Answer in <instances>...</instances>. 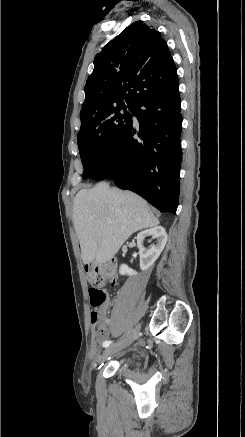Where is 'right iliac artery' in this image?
<instances>
[{"label":"right iliac artery","mask_w":245,"mask_h":437,"mask_svg":"<svg viewBox=\"0 0 245 437\" xmlns=\"http://www.w3.org/2000/svg\"><path fill=\"white\" fill-rule=\"evenodd\" d=\"M112 344V341L108 340V341H104L103 342V347H109Z\"/></svg>","instance_id":"right-iliac-artery-1"}]
</instances>
